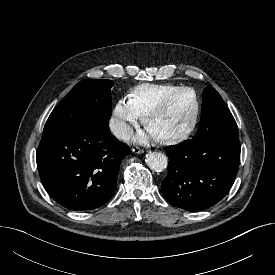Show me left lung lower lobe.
<instances>
[{"mask_svg": "<svg viewBox=\"0 0 275 275\" xmlns=\"http://www.w3.org/2000/svg\"><path fill=\"white\" fill-rule=\"evenodd\" d=\"M168 175L162 181L164 198L188 211L218 203L230 190L240 163L239 138L193 137L166 147Z\"/></svg>", "mask_w": 275, "mask_h": 275, "instance_id": "left-lung-lower-lobe-1", "label": "left lung lower lobe"}]
</instances>
